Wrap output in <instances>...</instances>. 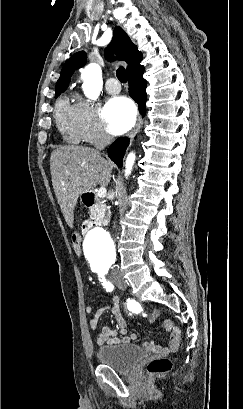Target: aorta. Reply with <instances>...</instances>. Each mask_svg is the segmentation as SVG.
<instances>
[{
  "mask_svg": "<svg viewBox=\"0 0 243 409\" xmlns=\"http://www.w3.org/2000/svg\"><path fill=\"white\" fill-rule=\"evenodd\" d=\"M83 91L86 97L96 100L102 90V71L98 64L90 63L81 72ZM135 154L129 153L125 164V176L131 173ZM114 250V243L109 233L103 228H93L85 236L84 252L89 261L102 262Z\"/></svg>",
  "mask_w": 243,
  "mask_h": 409,
  "instance_id": "1",
  "label": "aorta"
}]
</instances>
